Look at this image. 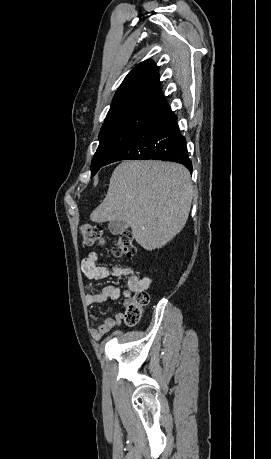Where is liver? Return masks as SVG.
<instances>
[{
  "instance_id": "6515ba94",
  "label": "liver",
  "mask_w": 271,
  "mask_h": 459,
  "mask_svg": "<svg viewBox=\"0 0 271 459\" xmlns=\"http://www.w3.org/2000/svg\"><path fill=\"white\" fill-rule=\"evenodd\" d=\"M193 200L190 172L174 162H122L92 222H127L145 249L166 245L184 228Z\"/></svg>"
}]
</instances>
